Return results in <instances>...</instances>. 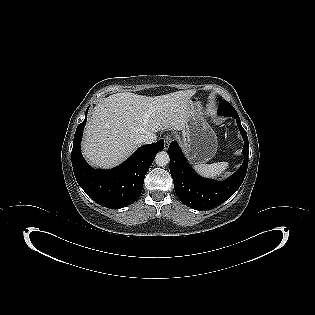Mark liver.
Wrapping results in <instances>:
<instances>
[{"mask_svg": "<svg viewBox=\"0 0 315 315\" xmlns=\"http://www.w3.org/2000/svg\"><path fill=\"white\" fill-rule=\"evenodd\" d=\"M195 90L161 96L116 93L97 104L88 117L83 155L95 167L112 168L126 160L147 133L183 131Z\"/></svg>", "mask_w": 315, "mask_h": 315, "instance_id": "obj_1", "label": "liver"}]
</instances>
